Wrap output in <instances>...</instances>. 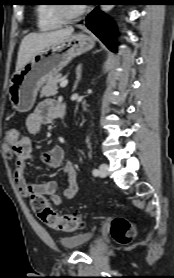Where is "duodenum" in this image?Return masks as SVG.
Wrapping results in <instances>:
<instances>
[{
  "label": "duodenum",
  "instance_id": "1",
  "mask_svg": "<svg viewBox=\"0 0 174 278\" xmlns=\"http://www.w3.org/2000/svg\"><path fill=\"white\" fill-rule=\"evenodd\" d=\"M58 115L60 117H65L66 116V108L64 104H59L58 106Z\"/></svg>",
  "mask_w": 174,
  "mask_h": 278
}]
</instances>
